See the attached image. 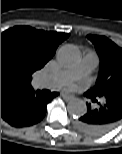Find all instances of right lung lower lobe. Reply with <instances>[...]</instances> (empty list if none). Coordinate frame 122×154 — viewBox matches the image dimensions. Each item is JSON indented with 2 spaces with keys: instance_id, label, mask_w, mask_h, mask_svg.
<instances>
[{
  "instance_id": "right-lung-lower-lobe-1",
  "label": "right lung lower lobe",
  "mask_w": 122,
  "mask_h": 154,
  "mask_svg": "<svg viewBox=\"0 0 122 154\" xmlns=\"http://www.w3.org/2000/svg\"><path fill=\"white\" fill-rule=\"evenodd\" d=\"M57 92L44 95L41 91L25 90L1 105V118L13 127H26L40 122L45 114L47 104Z\"/></svg>"
}]
</instances>
